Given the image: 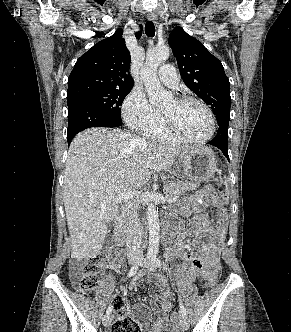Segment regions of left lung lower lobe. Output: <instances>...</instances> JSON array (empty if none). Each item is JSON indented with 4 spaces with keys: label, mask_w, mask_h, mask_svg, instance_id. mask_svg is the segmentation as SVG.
<instances>
[{
    "label": "left lung lower lobe",
    "mask_w": 291,
    "mask_h": 332,
    "mask_svg": "<svg viewBox=\"0 0 291 332\" xmlns=\"http://www.w3.org/2000/svg\"><path fill=\"white\" fill-rule=\"evenodd\" d=\"M217 122L219 125L217 135L212 141L208 142V144L219 148L229 160L228 148H227L229 121L226 118L222 117L219 120H217Z\"/></svg>",
    "instance_id": "0a47b994"
}]
</instances>
